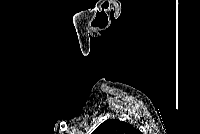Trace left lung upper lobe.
Returning <instances> with one entry per match:
<instances>
[{
	"mask_svg": "<svg viewBox=\"0 0 200 134\" xmlns=\"http://www.w3.org/2000/svg\"><path fill=\"white\" fill-rule=\"evenodd\" d=\"M92 134H140V132L126 122L108 119L99 125Z\"/></svg>",
	"mask_w": 200,
	"mask_h": 134,
	"instance_id": "1",
	"label": "left lung upper lobe"
}]
</instances>
